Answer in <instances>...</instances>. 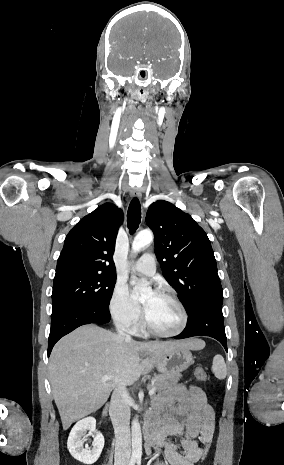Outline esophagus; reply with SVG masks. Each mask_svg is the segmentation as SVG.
Segmentation results:
<instances>
[{"label": "esophagus", "mask_w": 284, "mask_h": 465, "mask_svg": "<svg viewBox=\"0 0 284 465\" xmlns=\"http://www.w3.org/2000/svg\"><path fill=\"white\" fill-rule=\"evenodd\" d=\"M130 196L140 199L141 198V191L137 190V189H132V190H130Z\"/></svg>", "instance_id": "34e87169"}]
</instances>
